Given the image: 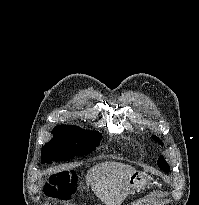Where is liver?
I'll list each match as a JSON object with an SVG mask.
<instances>
[{
  "label": "liver",
  "instance_id": "obj_1",
  "mask_svg": "<svg viewBox=\"0 0 199 205\" xmlns=\"http://www.w3.org/2000/svg\"><path fill=\"white\" fill-rule=\"evenodd\" d=\"M135 168L119 162H102L86 175V183L106 205H120L128 194L126 180Z\"/></svg>",
  "mask_w": 199,
  "mask_h": 205
}]
</instances>
